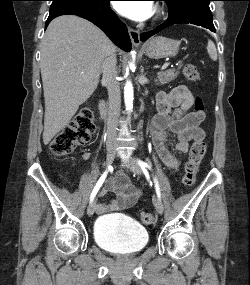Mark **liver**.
<instances>
[{
  "label": "liver",
  "instance_id": "obj_1",
  "mask_svg": "<svg viewBox=\"0 0 250 285\" xmlns=\"http://www.w3.org/2000/svg\"><path fill=\"white\" fill-rule=\"evenodd\" d=\"M115 51L108 37L89 21L60 16L48 26L41 43V76L45 99L43 142L70 122L95 91L101 64Z\"/></svg>",
  "mask_w": 250,
  "mask_h": 285
}]
</instances>
